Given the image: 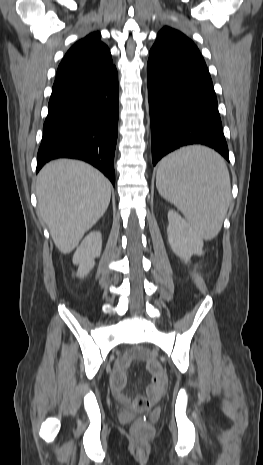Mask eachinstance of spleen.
Instances as JSON below:
<instances>
[{
    "instance_id": "spleen-1",
    "label": "spleen",
    "mask_w": 263,
    "mask_h": 465,
    "mask_svg": "<svg viewBox=\"0 0 263 465\" xmlns=\"http://www.w3.org/2000/svg\"><path fill=\"white\" fill-rule=\"evenodd\" d=\"M156 185L198 236L211 240L219 233L231 198L229 172L219 154L200 146L177 150L159 162Z\"/></svg>"
}]
</instances>
